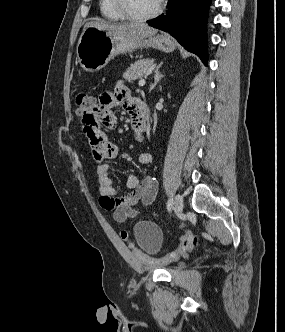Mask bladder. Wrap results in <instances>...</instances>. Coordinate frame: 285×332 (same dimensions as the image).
Instances as JSON below:
<instances>
[{
	"mask_svg": "<svg viewBox=\"0 0 285 332\" xmlns=\"http://www.w3.org/2000/svg\"><path fill=\"white\" fill-rule=\"evenodd\" d=\"M134 237L137 245L145 252H155L162 240V234L159 227L149 221H143L136 224L134 228ZM183 263H177L176 268H182Z\"/></svg>",
	"mask_w": 285,
	"mask_h": 332,
	"instance_id": "obj_1",
	"label": "bladder"
}]
</instances>
